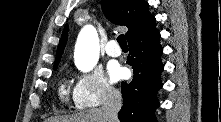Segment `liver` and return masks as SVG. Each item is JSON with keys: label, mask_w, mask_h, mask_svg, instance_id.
<instances>
[{"label": "liver", "mask_w": 221, "mask_h": 122, "mask_svg": "<svg viewBox=\"0 0 221 122\" xmlns=\"http://www.w3.org/2000/svg\"><path fill=\"white\" fill-rule=\"evenodd\" d=\"M45 122H107L102 108L89 109L71 117L48 118Z\"/></svg>", "instance_id": "obj_1"}]
</instances>
